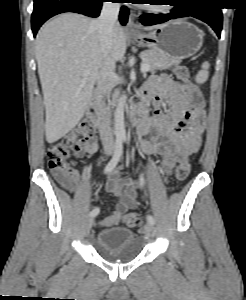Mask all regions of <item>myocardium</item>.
I'll use <instances>...</instances> for the list:
<instances>
[{"instance_id": "myocardium-1", "label": "myocardium", "mask_w": 246, "mask_h": 300, "mask_svg": "<svg viewBox=\"0 0 246 300\" xmlns=\"http://www.w3.org/2000/svg\"><path fill=\"white\" fill-rule=\"evenodd\" d=\"M171 8H172L171 4H166V6H164L162 8L146 7L147 10L156 12V13H166V12L170 11Z\"/></svg>"}]
</instances>
